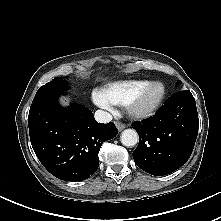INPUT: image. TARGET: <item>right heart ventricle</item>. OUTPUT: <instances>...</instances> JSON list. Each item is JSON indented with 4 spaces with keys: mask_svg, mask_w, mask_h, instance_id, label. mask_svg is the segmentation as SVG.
<instances>
[{
    "mask_svg": "<svg viewBox=\"0 0 221 221\" xmlns=\"http://www.w3.org/2000/svg\"><path fill=\"white\" fill-rule=\"evenodd\" d=\"M148 83V80L115 81L107 84L101 91L113 105L126 106L139 90Z\"/></svg>",
    "mask_w": 221,
    "mask_h": 221,
    "instance_id": "right-heart-ventricle-1",
    "label": "right heart ventricle"
}]
</instances>
